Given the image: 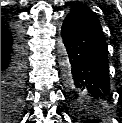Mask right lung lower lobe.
I'll list each match as a JSON object with an SVG mask.
<instances>
[{"mask_svg": "<svg viewBox=\"0 0 122 123\" xmlns=\"http://www.w3.org/2000/svg\"><path fill=\"white\" fill-rule=\"evenodd\" d=\"M26 46L18 27L9 20L1 22V96L17 101L25 84ZM11 100V101H12Z\"/></svg>", "mask_w": 122, "mask_h": 123, "instance_id": "right-lung-lower-lobe-1", "label": "right lung lower lobe"}]
</instances>
